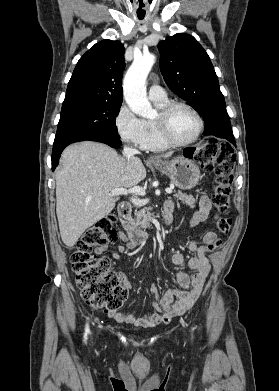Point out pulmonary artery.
<instances>
[{
	"instance_id": "e3ab8cb5",
	"label": "pulmonary artery",
	"mask_w": 279,
	"mask_h": 391,
	"mask_svg": "<svg viewBox=\"0 0 279 391\" xmlns=\"http://www.w3.org/2000/svg\"><path fill=\"white\" fill-rule=\"evenodd\" d=\"M149 99L152 101H163L167 99V94L165 90L156 84H152L149 87V93H148Z\"/></svg>"
}]
</instances>
